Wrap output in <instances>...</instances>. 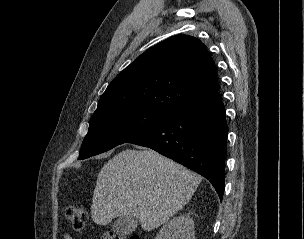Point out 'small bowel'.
Here are the masks:
<instances>
[{"mask_svg": "<svg viewBox=\"0 0 304 239\" xmlns=\"http://www.w3.org/2000/svg\"><path fill=\"white\" fill-rule=\"evenodd\" d=\"M63 239H74L70 234L65 233L63 234Z\"/></svg>", "mask_w": 304, "mask_h": 239, "instance_id": "small-bowel-1", "label": "small bowel"}]
</instances>
